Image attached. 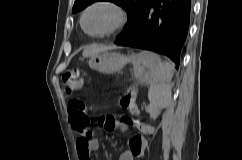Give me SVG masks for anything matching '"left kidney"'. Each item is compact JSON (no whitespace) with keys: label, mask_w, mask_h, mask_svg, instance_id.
Listing matches in <instances>:
<instances>
[{"label":"left kidney","mask_w":242,"mask_h":160,"mask_svg":"<svg viewBox=\"0 0 242 160\" xmlns=\"http://www.w3.org/2000/svg\"><path fill=\"white\" fill-rule=\"evenodd\" d=\"M163 108V107H162ZM161 109V108H160ZM159 114V110L157 112H150V115L153 119H156Z\"/></svg>","instance_id":"1"}]
</instances>
